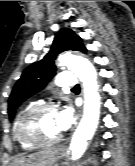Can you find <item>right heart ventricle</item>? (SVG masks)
Returning a JSON list of instances; mask_svg holds the SVG:
<instances>
[{
    "label": "right heart ventricle",
    "instance_id": "right-heart-ventricle-1",
    "mask_svg": "<svg viewBox=\"0 0 135 166\" xmlns=\"http://www.w3.org/2000/svg\"><path fill=\"white\" fill-rule=\"evenodd\" d=\"M30 106H26L25 108H23L20 113L18 114L17 118H16V121L14 123V127H13V136L16 140V142L25 150H30V149H33L35 146H31L29 144H26L24 143L19 137H18V131H17V125H18V121L21 117V115L24 113V111L26 109H28Z\"/></svg>",
    "mask_w": 135,
    "mask_h": 166
}]
</instances>
